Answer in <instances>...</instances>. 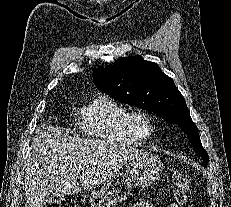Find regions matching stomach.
Returning a JSON list of instances; mask_svg holds the SVG:
<instances>
[{
    "label": "stomach",
    "mask_w": 231,
    "mask_h": 207,
    "mask_svg": "<svg viewBox=\"0 0 231 207\" xmlns=\"http://www.w3.org/2000/svg\"><path fill=\"white\" fill-rule=\"evenodd\" d=\"M163 169L160 159L149 153L140 152L129 160L128 174L115 173L102 188L90 196L91 207L115 206L131 194L134 186H150L159 178Z\"/></svg>",
    "instance_id": "1"
}]
</instances>
